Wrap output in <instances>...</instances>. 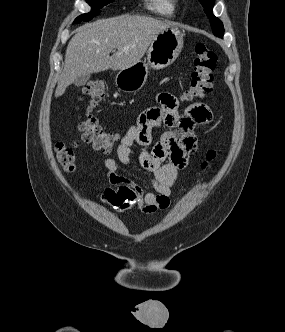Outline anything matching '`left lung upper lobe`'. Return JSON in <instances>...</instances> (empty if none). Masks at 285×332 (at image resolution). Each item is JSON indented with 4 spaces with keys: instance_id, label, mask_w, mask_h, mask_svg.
I'll list each match as a JSON object with an SVG mask.
<instances>
[{
    "instance_id": "left-lung-upper-lobe-1",
    "label": "left lung upper lobe",
    "mask_w": 285,
    "mask_h": 332,
    "mask_svg": "<svg viewBox=\"0 0 285 332\" xmlns=\"http://www.w3.org/2000/svg\"><path fill=\"white\" fill-rule=\"evenodd\" d=\"M204 7L206 15L210 18V24L213 30V34L218 37H223L224 27L222 22L213 15L214 0H199Z\"/></svg>"
}]
</instances>
